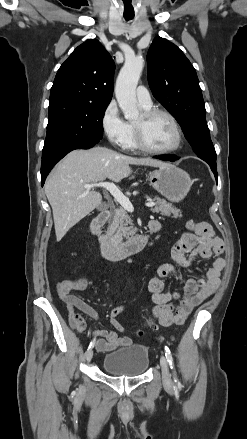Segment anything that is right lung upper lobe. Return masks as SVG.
I'll list each match as a JSON object with an SVG mask.
<instances>
[{
    "instance_id": "1",
    "label": "right lung upper lobe",
    "mask_w": 247,
    "mask_h": 439,
    "mask_svg": "<svg viewBox=\"0 0 247 439\" xmlns=\"http://www.w3.org/2000/svg\"><path fill=\"white\" fill-rule=\"evenodd\" d=\"M114 69V62L102 44L88 39L59 68L49 105L64 101L109 104Z\"/></svg>"
}]
</instances>
